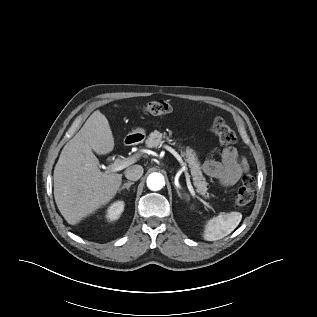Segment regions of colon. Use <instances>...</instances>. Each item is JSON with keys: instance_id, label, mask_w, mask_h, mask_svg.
I'll return each instance as SVG.
<instances>
[{"instance_id": "obj_1", "label": "colon", "mask_w": 317, "mask_h": 317, "mask_svg": "<svg viewBox=\"0 0 317 317\" xmlns=\"http://www.w3.org/2000/svg\"><path fill=\"white\" fill-rule=\"evenodd\" d=\"M171 111V106L163 100H154L148 102L143 107V112L149 115H164ZM212 131L217 135L220 142L224 145H232L236 142V135L233 130L225 123L222 118H216L212 123ZM247 168L242 177V186L234 195V205L241 208L249 204L254 197L255 179Z\"/></svg>"}]
</instances>
